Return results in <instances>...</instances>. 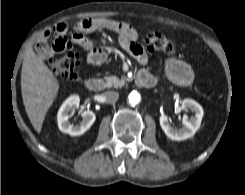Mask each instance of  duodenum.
Returning a JSON list of instances; mask_svg holds the SVG:
<instances>
[{
  "label": "duodenum",
  "instance_id": "duodenum-1",
  "mask_svg": "<svg viewBox=\"0 0 245 195\" xmlns=\"http://www.w3.org/2000/svg\"><path fill=\"white\" fill-rule=\"evenodd\" d=\"M135 84L141 88H152L156 85V79L148 72L140 71L135 77ZM85 85L92 92H99L104 88V82L95 77L88 78Z\"/></svg>",
  "mask_w": 245,
  "mask_h": 195
}]
</instances>
